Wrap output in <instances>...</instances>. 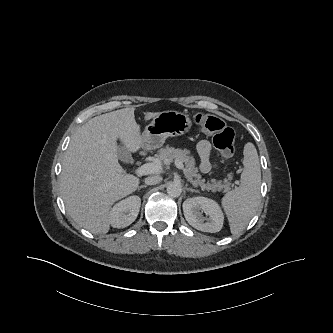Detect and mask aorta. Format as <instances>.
Returning a JSON list of instances; mask_svg holds the SVG:
<instances>
[{
  "instance_id": "1",
  "label": "aorta",
  "mask_w": 333,
  "mask_h": 333,
  "mask_svg": "<svg viewBox=\"0 0 333 333\" xmlns=\"http://www.w3.org/2000/svg\"><path fill=\"white\" fill-rule=\"evenodd\" d=\"M182 192V188L177 183H171L167 187V193L170 197L176 198L179 197Z\"/></svg>"
}]
</instances>
